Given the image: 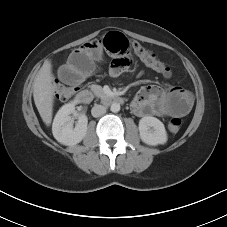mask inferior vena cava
<instances>
[{
	"label": "inferior vena cava",
	"mask_w": 227,
	"mask_h": 227,
	"mask_svg": "<svg viewBox=\"0 0 227 227\" xmlns=\"http://www.w3.org/2000/svg\"><path fill=\"white\" fill-rule=\"evenodd\" d=\"M106 113V108L102 105H95L92 110L91 114L93 117H99Z\"/></svg>",
	"instance_id": "obj_1"
}]
</instances>
